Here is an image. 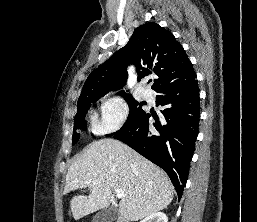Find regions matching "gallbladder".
<instances>
[{"instance_id":"obj_1","label":"gallbladder","mask_w":257,"mask_h":222,"mask_svg":"<svg viewBox=\"0 0 257 222\" xmlns=\"http://www.w3.org/2000/svg\"><path fill=\"white\" fill-rule=\"evenodd\" d=\"M117 216L116 207L104 208L93 217L92 222H113Z\"/></svg>"}]
</instances>
